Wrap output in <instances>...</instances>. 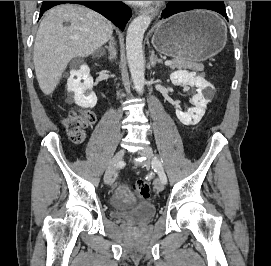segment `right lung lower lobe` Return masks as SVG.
<instances>
[{"label": "right lung lower lobe", "mask_w": 271, "mask_h": 266, "mask_svg": "<svg viewBox=\"0 0 271 266\" xmlns=\"http://www.w3.org/2000/svg\"><path fill=\"white\" fill-rule=\"evenodd\" d=\"M63 3H75L89 7L102 14L122 30L131 17L130 8L120 1H43L40 17L46 10Z\"/></svg>", "instance_id": "98d812e1"}]
</instances>
